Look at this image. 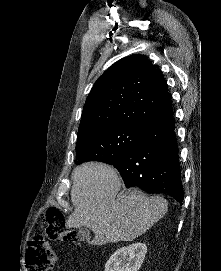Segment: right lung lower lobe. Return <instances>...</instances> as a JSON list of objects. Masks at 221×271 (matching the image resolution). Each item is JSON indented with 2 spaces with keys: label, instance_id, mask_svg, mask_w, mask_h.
Masks as SVG:
<instances>
[{
  "label": "right lung lower lobe",
  "instance_id": "98d812e1",
  "mask_svg": "<svg viewBox=\"0 0 221 271\" xmlns=\"http://www.w3.org/2000/svg\"><path fill=\"white\" fill-rule=\"evenodd\" d=\"M173 115L150 124L139 142L113 165L125 186L165 193L182 203L184 191Z\"/></svg>",
  "mask_w": 221,
  "mask_h": 271
}]
</instances>
